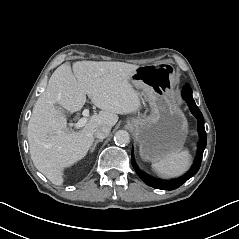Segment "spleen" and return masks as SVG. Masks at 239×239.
I'll return each mask as SVG.
<instances>
[{
  "label": "spleen",
  "mask_w": 239,
  "mask_h": 239,
  "mask_svg": "<svg viewBox=\"0 0 239 239\" xmlns=\"http://www.w3.org/2000/svg\"><path fill=\"white\" fill-rule=\"evenodd\" d=\"M191 164V155L187 150L170 154L166 158L153 162L152 170L161 177H175L185 173Z\"/></svg>",
  "instance_id": "1"
}]
</instances>
